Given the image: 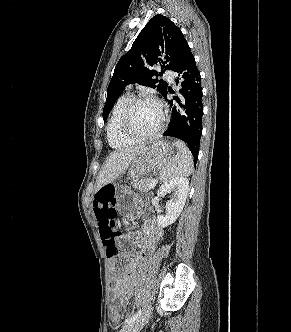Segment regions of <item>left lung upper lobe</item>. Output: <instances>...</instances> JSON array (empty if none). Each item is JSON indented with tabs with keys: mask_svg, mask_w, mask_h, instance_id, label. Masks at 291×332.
Masks as SVG:
<instances>
[{
	"mask_svg": "<svg viewBox=\"0 0 291 332\" xmlns=\"http://www.w3.org/2000/svg\"><path fill=\"white\" fill-rule=\"evenodd\" d=\"M184 35L169 18L163 15L154 16L137 36L131 49L118 61L113 77L107 88V99L103 109L106 120L117 98L126 85L138 83L156 88L162 95L168 84L155 77L163 72L174 70L179 64L186 46ZM161 65V72L152 71L151 67ZM166 65V66H165ZM199 142L190 149H199Z\"/></svg>",
	"mask_w": 291,
	"mask_h": 332,
	"instance_id": "5c2ea615",
	"label": "left lung upper lobe"
}]
</instances>
